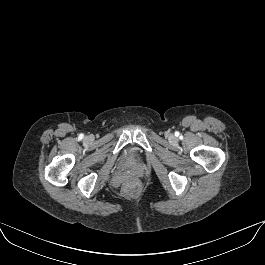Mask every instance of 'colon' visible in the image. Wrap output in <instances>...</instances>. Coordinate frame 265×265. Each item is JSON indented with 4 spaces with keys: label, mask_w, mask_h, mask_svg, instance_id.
<instances>
[{
    "label": "colon",
    "mask_w": 265,
    "mask_h": 265,
    "mask_svg": "<svg viewBox=\"0 0 265 265\" xmlns=\"http://www.w3.org/2000/svg\"><path fill=\"white\" fill-rule=\"evenodd\" d=\"M137 187L138 185L136 182H131L125 186V191L128 193H134L137 190Z\"/></svg>",
    "instance_id": "1"
}]
</instances>
